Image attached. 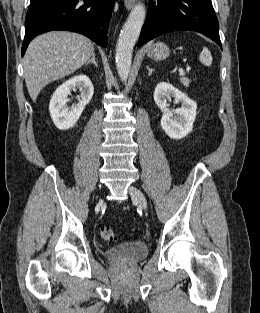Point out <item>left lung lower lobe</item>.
Returning <instances> with one entry per match:
<instances>
[{
	"label": "left lung lower lobe",
	"mask_w": 260,
	"mask_h": 313,
	"mask_svg": "<svg viewBox=\"0 0 260 313\" xmlns=\"http://www.w3.org/2000/svg\"><path fill=\"white\" fill-rule=\"evenodd\" d=\"M177 30L202 33L221 48L219 23L211 0H156L150 2L138 46Z\"/></svg>",
	"instance_id": "obj_1"
}]
</instances>
